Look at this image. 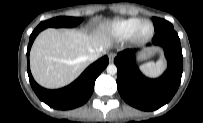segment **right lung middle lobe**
<instances>
[{
    "label": "right lung middle lobe",
    "mask_w": 203,
    "mask_h": 123,
    "mask_svg": "<svg viewBox=\"0 0 203 123\" xmlns=\"http://www.w3.org/2000/svg\"><path fill=\"white\" fill-rule=\"evenodd\" d=\"M82 21V18L76 17H56L47 21L41 22L37 28L45 29L47 27H74Z\"/></svg>",
    "instance_id": "right-lung-middle-lobe-1"
}]
</instances>
